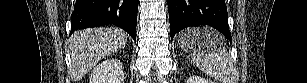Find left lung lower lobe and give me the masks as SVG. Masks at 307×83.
Wrapping results in <instances>:
<instances>
[{
	"label": "left lung lower lobe",
	"mask_w": 307,
	"mask_h": 83,
	"mask_svg": "<svg viewBox=\"0 0 307 83\" xmlns=\"http://www.w3.org/2000/svg\"><path fill=\"white\" fill-rule=\"evenodd\" d=\"M171 39L186 28L209 25L231 41L225 0H167Z\"/></svg>",
	"instance_id": "obj_1"
}]
</instances>
